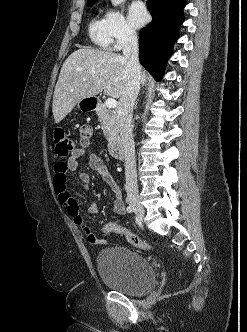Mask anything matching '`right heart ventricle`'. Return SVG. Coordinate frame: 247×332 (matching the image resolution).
I'll return each instance as SVG.
<instances>
[{
    "label": "right heart ventricle",
    "mask_w": 247,
    "mask_h": 332,
    "mask_svg": "<svg viewBox=\"0 0 247 332\" xmlns=\"http://www.w3.org/2000/svg\"><path fill=\"white\" fill-rule=\"evenodd\" d=\"M88 32L91 41L99 48L108 50L113 45L106 15L96 14L90 21Z\"/></svg>",
    "instance_id": "right-heart-ventricle-1"
}]
</instances>
